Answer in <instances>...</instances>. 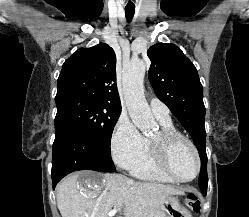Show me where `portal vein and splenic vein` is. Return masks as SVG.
Wrapping results in <instances>:
<instances>
[{"label": "portal vein and splenic vein", "mask_w": 249, "mask_h": 217, "mask_svg": "<svg viewBox=\"0 0 249 217\" xmlns=\"http://www.w3.org/2000/svg\"><path fill=\"white\" fill-rule=\"evenodd\" d=\"M120 209H113L108 213L109 217H113Z\"/></svg>", "instance_id": "18ae733b"}]
</instances>
